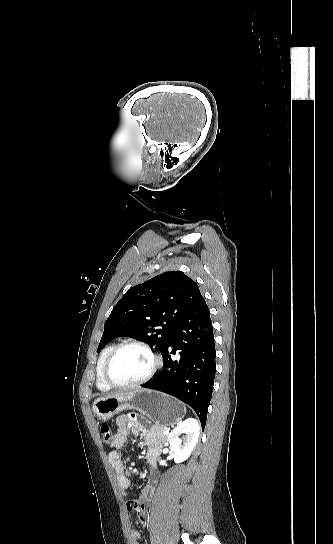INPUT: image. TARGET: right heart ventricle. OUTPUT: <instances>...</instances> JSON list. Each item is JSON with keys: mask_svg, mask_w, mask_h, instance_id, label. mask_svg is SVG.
I'll return each mask as SVG.
<instances>
[{"mask_svg": "<svg viewBox=\"0 0 333 544\" xmlns=\"http://www.w3.org/2000/svg\"><path fill=\"white\" fill-rule=\"evenodd\" d=\"M116 345L114 343L107 345L99 355L96 366V385L101 391H109L110 387L103 379V366L109 353Z\"/></svg>", "mask_w": 333, "mask_h": 544, "instance_id": "e07e8e85", "label": "right heart ventricle"}]
</instances>
